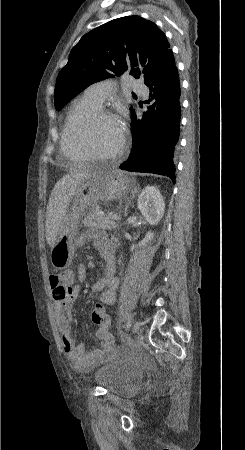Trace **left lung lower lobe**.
<instances>
[{"mask_svg":"<svg viewBox=\"0 0 245 450\" xmlns=\"http://www.w3.org/2000/svg\"><path fill=\"white\" fill-rule=\"evenodd\" d=\"M146 85L152 101L141 119L132 114L133 147L119 168L166 175L175 183L173 162L180 127V82L174 56Z\"/></svg>","mask_w":245,"mask_h":450,"instance_id":"1","label":"left lung lower lobe"}]
</instances>
